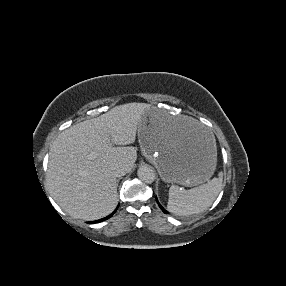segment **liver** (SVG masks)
<instances>
[{
    "label": "liver",
    "instance_id": "liver-1",
    "mask_svg": "<svg viewBox=\"0 0 286 286\" xmlns=\"http://www.w3.org/2000/svg\"><path fill=\"white\" fill-rule=\"evenodd\" d=\"M148 110L157 111L146 103L119 105L69 127L54 140L47 183L51 196L66 213L77 219L96 220L115 209L118 181L112 167L124 164L127 172L134 167L137 151L130 145L135 142L139 122ZM159 114L181 137L196 133L210 136L193 118Z\"/></svg>",
    "mask_w": 286,
    "mask_h": 286
}]
</instances>
